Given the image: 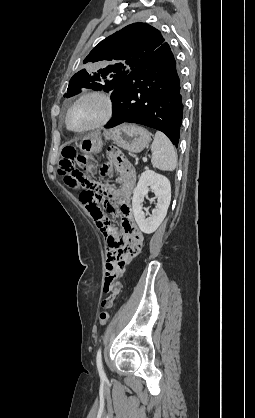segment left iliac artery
<instances>
[{
  "label": "left iliac artery",
  "mask_w": 255,
  "mask_h": 418,
  "mask_svg": "<svg viewBox=\"0 0 255 418\" xmlns=\"http://www.w3.org/2000/svg\"><path fill=\"white\" fill-rule=\"evenodd\" d=\"M96 364H97V369H98L100 376L105 377V373H104L103 365H102L101 348H99L97 352Z\"/></svg>",
  "instance_id": "1"
}]
</instances>
